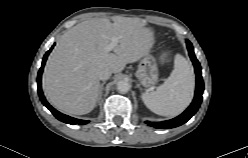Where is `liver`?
Here are the masks:
<instances>
[{
  "instance_id": "1",
  "label": "liver",
  "mask_w": 248,
  "mask_h": 158,
  "mask_svg": "<svg viewBox=\"0 0 248 158\" xmlns=\"http://www.w3.org/2000/svg\"><path fill=\"white\" fill-rule=\"evenodd\" d=\"M139 18L115 16L83 21L66 31L51 52L42 86L48 101L70 115L91 112L99 97V73L105 68L121 72L126 64L149 54L154 35ZM118 37L113 52L106 46Z\"/></svg>"
}]
</instances>
